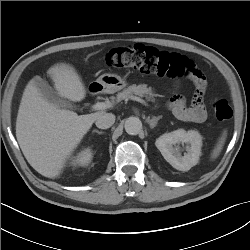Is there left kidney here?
<instances>
[{
  "label": "left kidney",
  "mask_w": 250,
  "mask_h": 250,
  "mask_svg": "<svg viewBox=\"0 0 250 250\" xmlns=\"http://www.w3.org/2000/svg\"><path fill=\"white\" fill-rule=\"evenodd\" d=\"M180 143H186L187 153L182 156L179 148ZM164 159L175 169L188 171L199 162L201 155L202 137L198 131L178 129L161 135L155 142Z\"/></svg>",
  "instance_id": "5707ae66"
}]
</instances>
